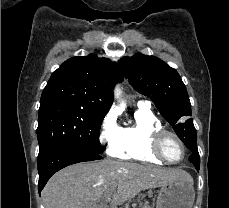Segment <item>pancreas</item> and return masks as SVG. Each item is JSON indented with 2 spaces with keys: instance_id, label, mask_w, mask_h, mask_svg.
I'll use <instances>...</instances> for the list:
<instances>
[{
  "instance_id": "obj_1",
  "label": "pancreas",
  "mask_w": 229,
  "mask_h": 208,
  "mask_svg": "<svg viewBox=\"0 0 229 208\" xmlns=\"http://www.w3.org/2000/svg\"><path fill=\"white\" fill-rule=\"evenodd\" d=\"M142 208H151V206H149V202H146V204H144V206H142Z\"/></svg>"
}]
</instances>
